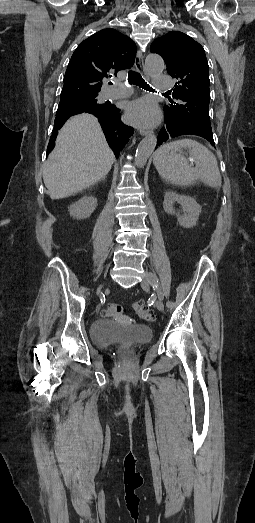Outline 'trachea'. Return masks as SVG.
Listing matches in <instances>:
<instances>
[{
    "label": "trachea",
    "mask_w": 255,
    "mask_h": 523,
    "mask_svg": "<svg viewBox=\"0 0 255 523\" xmlns=\"http://www.w3.org/2000/svg\"><path fill=\"white\" fill-rule=\"evenodd\" d=\"M128 82L131 85H138V87L144 88V90H148L149 92H155L148 83L143 80L141 75L138 72H135L134 70H130L128 74Z\"/></svg>",
    "instance_id": "trachea-1"
}]
</instances>
